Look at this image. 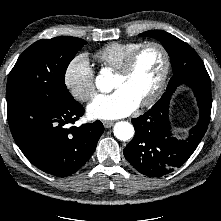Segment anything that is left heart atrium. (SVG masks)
I'll list each match as a JSON object with an SVG mask.
<instances>
[{"mask_svg":"<svg viewBox=\"0 0 221 221\" xmlns=\"http://www.w3.org/2000/svg\"><path fill=\"white\" fill-rule=\"evenodd\" d=\"M138 105L126 91L116 89L107 95H97L88 106V114L93 118L116 119L131 114Z\"/></svg>","mask_w":221,"mask_h":221,"instance_id":"left-heart-atrium-1","label":"left heart atrium"}]
</instances>
